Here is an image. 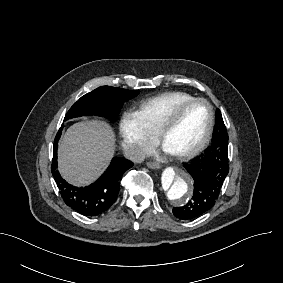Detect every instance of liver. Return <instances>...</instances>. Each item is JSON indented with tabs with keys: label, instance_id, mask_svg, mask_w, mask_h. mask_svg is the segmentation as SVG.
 <instances>
[{
	"label": "liver",
	"instance_id": "obj_1",
	"mask_svg": "<svg viewBox=\"0 0 283 283\" xmlns=\"http://www.w3.org/2000/svg\"><path fill=\"white\" fill-rule=\"evenodd\" d=\"M114 149V133L106 123H77L62 138L58 157L60 172L75 185L89 184L108 166Z\"/></svg>",
	"mask_w": 283,
	"mask_h": 283
}]
</instances>
